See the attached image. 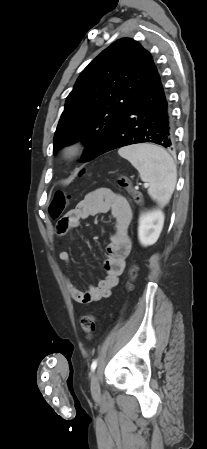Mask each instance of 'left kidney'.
Returning <instances> with one entry per match:
<instances>
[{
	"label": "left kidney",
	"instance_id": "obj_1",
	"mask_svg": "<svg viewBox=\"0 0 207 449\" xmlns=\"http://www.w3.org/2000/svg\"><path fill=\"white\" fill-rule=\"evenodd\" d=\"M164 225V213L160 209L142 214L139 218L138 238L143 246L157 242Z\"/></svg>",
	"mask_w": 207,
	"mask_h": 449
}]
</instances>
